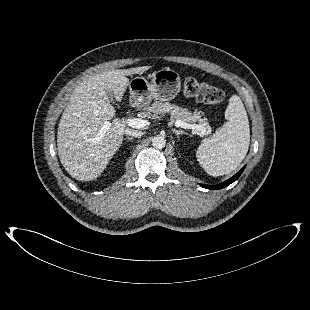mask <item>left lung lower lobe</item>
<instances>
[{"label":"left lung lower lobe","instance_id":"obj_1","mask_svg":"<svg viewBox=\"0 0 310 310\" xmlns=\"http://www.w3.org/2000/svg\"><path fill=\"white\" fill-rule=\"evenodd\" d=\"M245 169V166L238 172L236 173L232 178H230L229 180L219 184V185H201L202 187L206 188V189H212V190H218V189H222L228 185H230L231 183H233L234 181H236L239 176L241 175V173L243 172V170Z\"/></svg>","mask_w":310,"mask_h":310}]
</instances>
